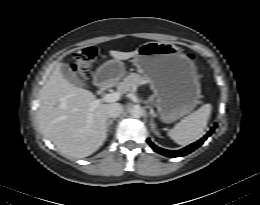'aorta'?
<instances>
[{
	"label": "aorta",
	"instance_id": "762f6f07",
	"mask_svg": "<svg viewBox=\"0 0 260 205\" xmlns=\"http://www.w3.org/2000/svg\"><path fill=\"white\" fill-rule=\"evenodd\" d=\"M129 113L134 118H140L143 116L144 111L140 106L135 105L132 108H130Z\"/></svg>",
	"mask_w": 260,
	"mask_h": 205
}]
</instances>
